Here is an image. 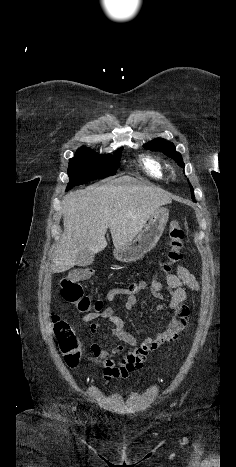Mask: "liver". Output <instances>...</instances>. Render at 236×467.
<instances>
[{
    "label": "liver",
    "mask_w": 236,
    "mask_h": 467,
    "mask_svg": "<svg viewBox=\"0 0 236 467\" xmlns=\"http://www.w3.org/2000/svg\"><path fill=\"white\" fill-rule=\"evenodd\" d=\"M171 202L168 192L130 176L70 192L62 200L64 232L52 271L60 273L77 265L76 255L83 249L93 254L104 250L108 228L115 247L131 242L153 212Z\"/></svg>",
    "instance_id": "obj_1"
}]
</instances>
